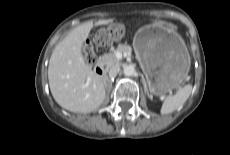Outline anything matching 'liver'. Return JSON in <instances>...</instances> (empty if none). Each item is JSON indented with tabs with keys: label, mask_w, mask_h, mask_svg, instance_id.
Wrapping results in <instances>:
<instances>
[{
	"label": "liver",
	"mask_w": 230,
	"mask_h": 155,
	"mask_svg": "<svg viewBox=\"0 0 230 155\" xmlns=\"http://www.w3.org/2000/svg\"><path fill=\"white\" fill-rule=\"evenodd\" d=\"M112 21H87L71 30L53 50L48 66L49 86L53 98L64 109L90 113L103 103L105 79L85 63L82 47L94 26Z\"/></svg>",
	"instance_id": "6515ba94"
}]
</instances>
